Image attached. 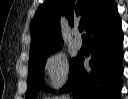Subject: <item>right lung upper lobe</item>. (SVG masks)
Masks as SVG:
<instances>
[{"mask_svg":"<svg viewBox=\"0 0 128 99\" xmlns=\"http://www.w3.org/2000/svg\"><path fill=\"white\" fill-rule=\"evenodd\" d=\"M114 0H46L38 8L31 22L30 58L61 46L60 16L65 15L73 26L80 17L86 31L115 6Z\"/></svg>","mask_w":128,"mask_h":99,"instance_id":"1","label":"right lung upper lobe"}]
</instances>
